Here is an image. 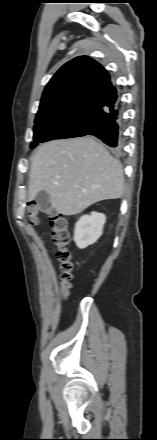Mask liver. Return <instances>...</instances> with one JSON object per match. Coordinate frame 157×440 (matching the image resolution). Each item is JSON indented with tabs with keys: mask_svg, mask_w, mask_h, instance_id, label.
Here are the masks:
<instances>
[{
	"mask_svg": "<svg viewBox=\"0 0 157 440\" xmlns=\"http://www.w3.org/2000/svg\"><path fill=\"white\" fill-rule=\"evenodd\" d=\"M124 188L121 163L94 138L54 140L42 144L32 159L28 199L46 191L51 206L69 216L122 197Z\"/></svg>",
	"mask_w": 157,
	"mask_h": 440,
	"instance_id": "liver-1",
	"label": "liver"
}]
</instances>
